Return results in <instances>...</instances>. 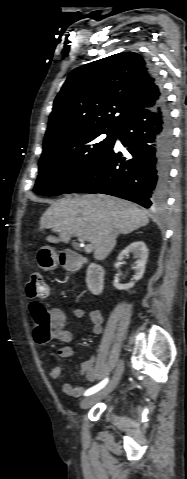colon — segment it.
I'll use <instances>...</instances> for the list:
<instances>
[{
  "label": "colon",
  "instance_id": "colon-1",
  "mask_svg": "<svg viewBox=\"0 0 187 479\" xmlns=\"http://www.w3.org/2000/svg\"><path fill=\"white\" fill-rule=\"evenodd\" d=\"M27 295L31 299H43L48 295V287L39 271L32 272L26 286ZM30 312L35 328L41 338H45L50 331L51 315L46 307L39 302L30 305Z\"/></svg>",
  "mask_w": 187,
  "mask_h": 479
}]
</instances>
